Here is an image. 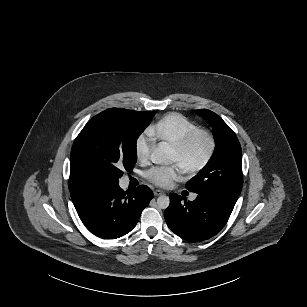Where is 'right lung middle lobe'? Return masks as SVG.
<instances>
[{
	"instance_id": "1",
	"label": "right lung middle lobe",
	"mask_w": 307,
	"mask_h": 307,
	"mask_svg": "<svg viewBox=\"0 0 307 307\" xmlns=\"http://www.w3.org/2000/svg\"><path fill=\"white\" fill-rule=\"evenodd\" d=\"M153 116L121 108H110L94 116L72 146L69 182L118 183L122 168L133 169L137 161V138Z\"/></svg>"
}]
</instances>
